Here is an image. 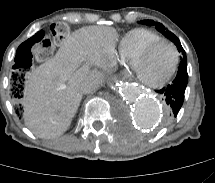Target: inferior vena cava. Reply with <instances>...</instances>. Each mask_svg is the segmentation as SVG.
I'll list each match as a JSON object with an SVG mask.
<instances>
[{
  "label": "inferior vena cava",
  "instance_id": "1",
  "mask_svg": "<svg viewBox=\"0 0 215 183\" xmlns=\"http://www.w3.org/2000/svg\"><path fill=\"white\" fill-rule=\"evenodd\" d=\"M101 82H102V80L101 81H85L80 85V90L83 94L92 93L98 89Z\"/></svg>",
  "mask_w": 215,
  "mask_h": 183
}]
</instances>
